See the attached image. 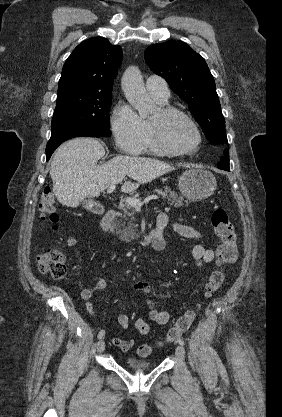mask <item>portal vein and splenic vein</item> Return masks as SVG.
Instances as JSON below:
<instances>
[{
	"mask_svg": "<svg viewBox=\"0 0 282 417\" xmlns=\"http://www.w3.org/2000/svg\"><path fill=\"white\" fill-rule=\"evenodd\" d=\"M116 188V184H111V186H109V188H107V192H113V190H115ZM155 198H158V196H155ZM154 196L150 195L147 196V198H145V200H139V198H132V196H128V198H126V202H128V204H131V206H135V211L136 212H143L144 211V206L142 204H144V202H148V200H153Z\"/></svg>",
	"mask_w": 282,
	"mask_h": 417,
	"instance_id": "obj_1",
	"label": "portal vein and splenic vein"
}]
</instances>
